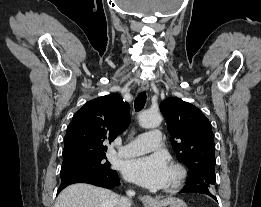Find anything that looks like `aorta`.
<instances>
[{
    "label": "aorta",
    "mask_w": 261,
    "mask_h": 207,
    "mask_svg": "<svg viewBox=\"0 0 261 207\" xmlns=\"http://www.w3.org/2000/svg\"><path fill=\"white\" fill-rule=\"evenodd\" d=\"M162 122V116L159 112L145 111L139 115V124L143 128H155Z\"/></svg>",
    "instance_id": "aorta-1"
}]
</instances>
